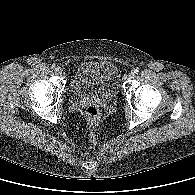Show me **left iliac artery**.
Returning a JSON list of instances; mask_svg holds the SVG:
<instances>
[{"label":"left iliac artery","mask_w":195,"mask_h":195,"mask_svg":"<svg viewBox=\"0 0 195 195\" xmlns=\"http://www.w3.org/2000/svg\"><path fill=\"white\" fill-rule=\"evenodd\" d=\"M134 74H137L138 72H139V69L138 68H136V69H134Z\"/></svg>","instance_id":"1"}]
</instances>
